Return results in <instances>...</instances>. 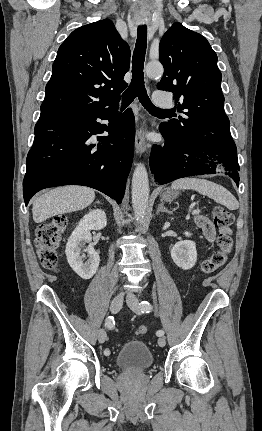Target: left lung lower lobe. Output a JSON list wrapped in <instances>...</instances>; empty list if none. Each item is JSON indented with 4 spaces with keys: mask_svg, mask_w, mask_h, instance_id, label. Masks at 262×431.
Wrapping results in <instances>:
<instances>
[{
    "mask_svg": "<svg viewBox=\"0 0 262 431\" xmlns=\"http://www.w3.org/2000/svg\"><path fill=\"white\" fill-rule=\"evenodd\" d=\"M165 139L163 146L154 145L150 155V168L158 184H166L179 178L226 174L239 184L237 149L228 138L220 149H209L174 141L160 125Z\"/></svg>",
    "mask_w": 262,
    "mask_h": 431,
    "instance_id": "left-lung-lower-lobe-1",
    "label": "left lung lower lobe"
}]
</instances>
